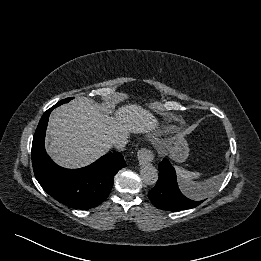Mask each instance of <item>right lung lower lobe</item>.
Listing matches in <instances>:
<instances>
[{"label":"right lung lower lobe","instance_id":"right-lung-lower-lobe-1","mask_svg":"<svg viewBox=\"0 0 261 261\" xmlns=\"http://www.w3.org/2000/svg\"><path fill=\"white\" fill-rule=\"evenodd\" d=\"M42 116L32 142V165L42 188L59 202L78 209H90L109 195L116 173L126 167L123 156L110 153L81 169H66L55 164L44 147L45 130L51 111Z\"/></svg>","mask_w":261,"mask_h":261}]
</instances>
